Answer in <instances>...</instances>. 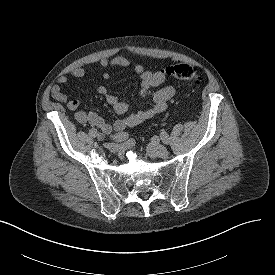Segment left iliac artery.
Listing matches in <instances>:
<instances>
[{"label": "left iliac artery", "instance_id": "44dca946", "mask_svg": "<svg viewBox=\"0 0 275 275\" xmlns=\"http://www.w3.org/2000/svg\"><path fill=\"white\" fill-rule=\"evenodd\" d=\"M160 137L163 143L168 144L169 143V136L165 131H161Z\"/></svg>", "mask_w": 275, "mask_h": 275}]
</instances>
